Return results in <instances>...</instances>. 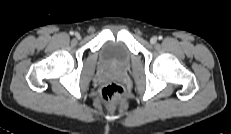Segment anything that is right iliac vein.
<instances>
[{
  "label": "right iliac vein",
  "instance_id": "right-iliac-vein-1",
  "mask_svg": "<svg viewBox=\"0 0 231 134\" xmlns=\"http://www.w3.org/2000/svg\"><path fill=\"white\" fill-rule=\"evenodd\" d=\"M75 37L79 39L80 38V34L79 33H75Z\"/></svg>",
  "mask_w": 231,
  "mask_h": 134
}]
</instances>
